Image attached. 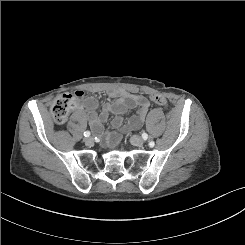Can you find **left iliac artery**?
Masks as SVG:
<instances>
[{
    "mask_svg": "<svg viewBox=\"0 0 245 245\" xmlns=\"http://www.w3.org/2000/svg\"><path fill=\"white\" fill-rule=\"evenodd\" d=\"M142 137H143L144 140H146L148 138V136L146 134H143ZM154 145H155L154 141H150L149 142V146L150 147H153Z\"/></svg>",
    "mask_w": 245,
    "mask_h": 245,
    "instance_id": "left-iliac-artery-1",
    "label": "left iliac artery"
}]
</instances>
